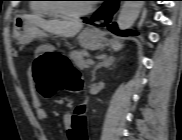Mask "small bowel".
<instances>
[{
	"label": "small bowel",
	"instance_id": "c3829d8e",
	"mask_svg": "<svg viewBox=\"0 0 182 140\" xmlns=\"http://www.w3.org/2000/svg\"><path fill=\"white\" fill-rule=\"evenodd\" d=\"M31 99H32V104L36 110V117L39 121H45L47 119V113L45 111V109L41 106V102L38 98V96L32 92L31 94ZM64 125L66 128L69 127L70 124V116L69 115H65L64 116ZM47 140H50L49 137H47Z\"/></svg>",
	"mask_w": 182,
	"mask_h": 140
}]
</instances>
